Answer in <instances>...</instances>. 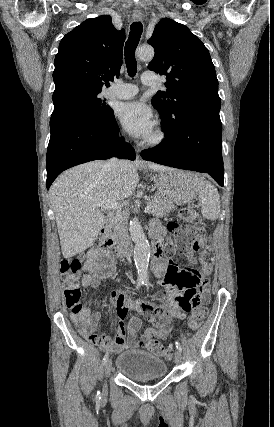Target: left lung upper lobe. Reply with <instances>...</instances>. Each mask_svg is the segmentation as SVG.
<instances>
[{"label": "left lung upper lobe", "mask_w": 274, "mask_h": 427, "mask_svg": "<svg viewBox=\"0 0 274 427\" xmlns=\"http://www.w3.org/2000/svg\"><path fill=\"white\" fill-rule=\"evenodd\" d=\"M148 43L155 49L148 69L167 76L166 91H158L152 105L169 133L192 115L219 117L218 80L208 49L183 24L163 18Z\"/></svg>", "instance_id": "left-lung-upper-lobe-1"}]
</instances>
